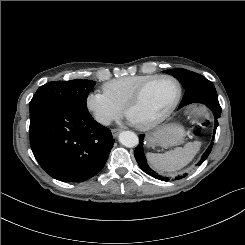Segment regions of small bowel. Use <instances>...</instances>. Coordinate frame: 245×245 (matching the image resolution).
<instances>
[{"mask_svg":"<svg viewBox=\"0 0 245 245\" xmlns=\"http://www.w3.org/2000/svg\"><path fill=\"white\" fill-rule=\"evenodd\" d=\"M203 110V105L199 101L190 102L186 106V111L190 115H195L201 113Z\"/></svg>","mask_w":245,"mask_h":245,"instance_id":"obj_1","label":"small bowel"}]
</instances>
